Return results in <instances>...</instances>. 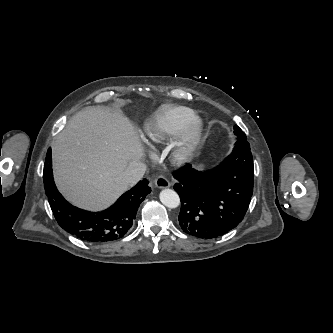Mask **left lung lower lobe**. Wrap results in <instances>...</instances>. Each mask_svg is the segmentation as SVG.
Listing matches in <instances>:
<instances>
[{
	"label": "left lung lower lobe",
	"instance_id": "0a47b994",
	"mask_svg": "<svg viewBox=\"0 0 333 333\" xmlns=\"http://www.w3.org/2000/svg\"><path fill=\"white\" fill-rule=\"evenodd\" d=\"M233 152L216 168L198 171L187 164L174 173L181 210L179 224L185 233L216 238L244 218L253 194L254 165L249 142L235 125Z\"/></svg>",
	"mask_w": 333,
	"mask_h": 333
}]
</instances>
